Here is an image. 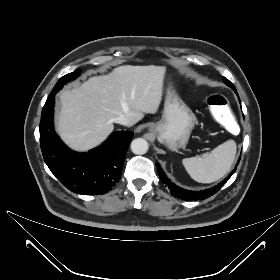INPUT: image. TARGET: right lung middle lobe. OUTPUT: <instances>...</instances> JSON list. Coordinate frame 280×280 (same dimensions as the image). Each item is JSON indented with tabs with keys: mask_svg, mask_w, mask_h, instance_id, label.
<instances>
[{
	"mask_svg": "<svg viewBox=\"0 0 280 280\" xmlns=\"http://www.w3.org/2000/svg\"><path fill=\"white\" fill-rule=\"evenodd\" d=\"M78 75H79V69H76L74 72L61 77L59 81L56 83L51 93L53 92L57 93L67 82L75 79Z\"/></svg>",
	"mask_w": 280,
	"mask_h": 280,
	"instance_id": "dd1d6c3e",
	"label": "right lung middle lobe"
}]
</instances>
